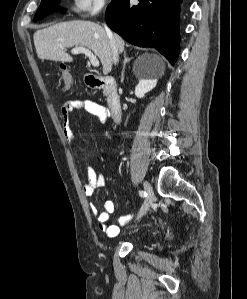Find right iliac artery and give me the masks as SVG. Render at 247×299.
Here are the masks:
<instances>
[{"label": "right iliac artery", "instance_id": "obj_1", "mask_svg": "<svg viewBox=\"0 0 247 299\" xmlns=\"http://www.w3.org/2000/svg\"><path fill=\"white\" fill-rule=\"evenodd\" d=\"M139 195L144 198L147 196V193L145 191H139Z\"/></svg>", "mask_w": 247, "mask_h": 299}]
</instances>
